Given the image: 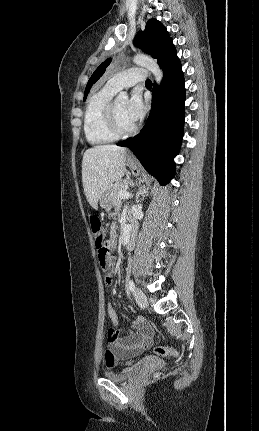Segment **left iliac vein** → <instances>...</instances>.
Listing matches in <instances>:
<instances>
[{
  "instance_id": "1",
  "label": "left iliac vein",
  "mask_w": 259,
  "mask_h": 431,
  "mask_svg": "<svg viewBox=\"0 0 259 431\" xmlns=\"http://www.w3.org/2000/svg\"><path fill=\"white\" fill-rule=\"evenodd\" d=\"M134 297H135L136 303L141 308H145L147 306V297L141 289L136 288L134 290Z\"/></svg>"
}]
</instances>
